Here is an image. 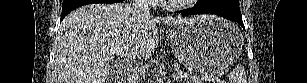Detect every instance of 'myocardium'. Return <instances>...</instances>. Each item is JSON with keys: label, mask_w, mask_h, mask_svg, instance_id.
Masks as SVG:
<instances>
[{"label": "myocardium", "mask_w": 307, "mask_h": 83, "mask_svg": "<svg viewBox=\"0 0 307 83\" xmlns=\"http://www.w3.org/2000/svg\"><path fill=\"white\" fill-rule=\"evenodd\" d=\"M196 2V0H170L165 5L167 9L180 10L188 6V4Z\"/></svg>", "instance_id": "obj_1"}]
</instances>
